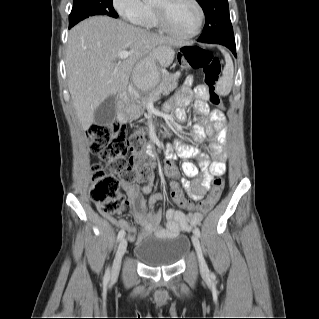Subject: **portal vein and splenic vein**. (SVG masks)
I'll return each mask as SVG.
<instances>
[{
	"label": "portal vein and splenic vein",
	"mask_w": 319,
	"mask_h": 319,
	"mask_svg": "<svg viewBox=\"0 0 319 319\" xmlns=\"http://www.w3.org/2000/svg\"><path fill=\"white\" fill-rule=\"evenodd\" d=\"M130 54H131V53L128 52V51H121V52L118 54V58H119L120 60L127 59Z\"/></svg>",
	"instance_id": "portal-vein-and-splenic-vein-1"
}]
</instances>
